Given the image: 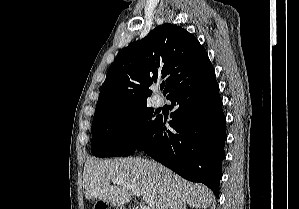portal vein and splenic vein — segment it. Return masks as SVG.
<instances>
[{
	"instance_id": "portal-vein-and-splenic-vein-1",
	"label": "portal vein and splenic vein",
	"mask_w": 299,
	"mask_h": 209,
	"mask_svg": "<svg viewBox=\"0 0 299 209\" xmlns=\"http://www.w3.org/2000/svg\"><path fill=\"white\" fill-rule=\"evenodd\" d=\"M112 182H113L114 184H122V182H121V181H118V180H112ZM126 187L129 189V191H130L133 195H135V196H137V197L140 196V192H139L136 188H134L133 186L127 185ZM142 209H150V208H149L148 206H143Z\"/></svg>"
}]
</instances>
